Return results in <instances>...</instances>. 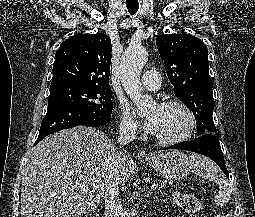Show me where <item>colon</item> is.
I'll return each instance as SVG.
<instances>
[{
  "label": "colon",
  "instance_id": "colon-1",
  "mask_svg": "<svg viewBox=\"0 0 255 217\" xmlns=\"http://www.w3.org/2000/svg\"><path fill=\"white\" fill-rule=\"evenodd\" d=\"M176 206L187 213H198L201 209L199 201L191 194L184 192H176L174 195Z\"/></svg>",
  "mask_w": 255,
  "mask_h": 217
}]
</instances>
